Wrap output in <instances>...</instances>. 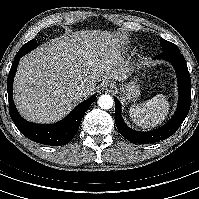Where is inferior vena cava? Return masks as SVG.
<instances>
[{"instance_id":"obj_1","label":"inferior vena cava","mask_w":199,"mask_h":199,"mask_svg":"<svg viewBox=\"0 0 199 199\" xmlns=\"http://www.w3.org/2000/svg\"><path fill=\"white\" fill-rule=\"evenodd\" d=\"M86 92V88L84 85H79L76 87L75 91H74V94L75 96L77 97H82Z\"/></svg>"}]
</instances>
